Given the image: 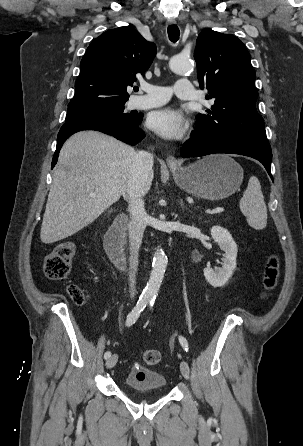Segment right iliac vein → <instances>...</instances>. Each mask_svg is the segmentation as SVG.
Instances as JSON below:
<instances>
[{
    "instance_id": "obj_1",
    "label": "right iliac vein",
    "mask_w": 303,
    "mask_h": 446,
    "mask_svg": "<svg viewBox=\"0 0 303 446\" xmlns=\"http://www.w3.org/2000/svg\"><path fill=\"white\" fill-rule=\"evenodd\" d=\"M117 360H118V356L116 354L109 357V359H107V361L105 363L106 368L110 369V368L114 367L117 363Z\"/></svg>"
}]
</instances>
